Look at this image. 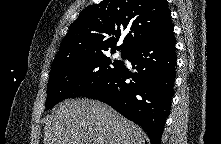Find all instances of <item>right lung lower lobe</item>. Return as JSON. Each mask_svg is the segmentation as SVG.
Masks as SVG:
<instances>
[{
	"mask_svg": "<svg viewBox=\"0 0 221 144\" xmlns=\"http://www.w3.org/2000/svg\"><path fill=\"white\" fill-rule=\"evenodd\" d=\"M175 44L171 24L125 54L135 69L134 73L123 63L112 78L82 96L110 105L141 126L152 144H161L174 92Z\"/></svg>",
	"mask_w": 221,
	"mask_h": 144,
	"instance_id": "98d812e1",
	"label": "right lung lower lobe"
}]
</instances>
